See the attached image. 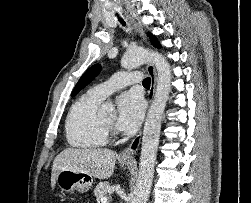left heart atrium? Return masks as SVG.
<instances>
[{
  "label": "left heart atrium",
  "mask_w": 251,
  "mask_h": 203,
  "mask_svg": "<svg viewBox=\"0 0 251 203\" xmlns=\"http://www.w3.org/2000/svg\"><path fill=\"white\" fill-rule=\"evenodd\" d=\"M117 111L116 126L122 131L132 132L138 129L143 121L145 102L137 92H126L117 99Z\"/></svg>",
  "instance_id": "obj_1"
}]
</instances>
